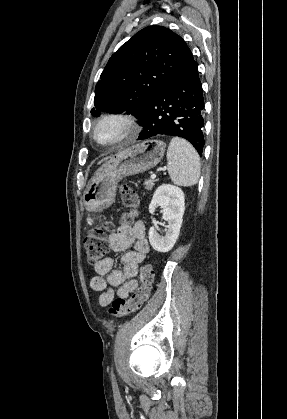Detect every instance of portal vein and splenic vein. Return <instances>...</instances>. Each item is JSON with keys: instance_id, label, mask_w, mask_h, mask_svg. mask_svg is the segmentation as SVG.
<instances>
[{"instance_id": "18ae733b", "label": "portal vein and splenic vein", "mask_w": 287, "mask_h": 419, "mask_svg": "<svg viewBox=\"0 0 287 419\" xmlns=\"http://www.w3.org/2000/svg\"><path fill=\"white\" fill-rule=\"evenodd\" d=\"M156 178V174H151V179H155Z\"/></svg>"}]
</instances>
